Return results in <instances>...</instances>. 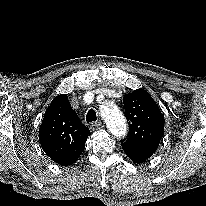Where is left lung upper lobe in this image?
Listing matches in <instances>:
<instances>
[{
    "instance_id": "obj_1",
    "label": "left lung upper lobe",
    "mask_w": 206,
    "mask_h": 206,
    "mask_svg": "<svg viewBox=\"0 0 206 206\" xmlns=\"http://www.w3.org/2000/svg\"><path fill=\"white\" fill-rule=\"evenodd\" d=\"M123 104L130 127L127 138L121 140L123 150L155 153L164 135L165 123L158 105L144 89L126 94Z\"/></svg>"
}]
</instances>
